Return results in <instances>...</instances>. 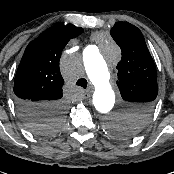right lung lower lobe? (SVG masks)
<instances>
[{"instance_id": "obj_1", "label": "right lung lower lobe", "mask_w": 174, "mask_h": 174, "mask_svg": "<svg viewBox=\"0 0 174 174\" xmlns=\"http://www.w3.org/2000/svg\"><path fill=\"white\" fill-rule=\"evenodd\" d=\"M16 105L21 117L26 122V117H30L35 113L45 112L50 109L60 107L61 103L57 102L55 104H50L40 101L16 100Z\"/></svg>"}]
</instances>
